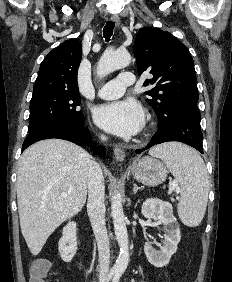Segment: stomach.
I'll return each instance as SVG.
<instances>
[{
    "label": "stomach",
    "instance_id": "1",
    "mask_svg": "<svg viewBox=\"0 0 232 282\" xmlns=\"http://www.w3.org/2000/svg\"><path fill=\"white\" fill-rule=\"evenodd\" d=\"M133 177L148 186H157L163 183L167 177L165 165L154 157H143L132 167Z\"/></svg>",
    "mask_w": 232,
    "mask_h": 282
}]
</instances>
